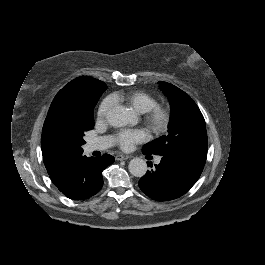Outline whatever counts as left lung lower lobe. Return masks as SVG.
Segmentation results:
<instances>
[{
  "mask_svg": "<svg viewBox=\"0 0 265 265\" xmlns=\"http://www.w3.org/2000/svg\"><path fill=\"white\" fill-rule=\"evenodd\" d=\"M161 156L160 164L139 180V187L153 200L169 201L184 195L196 183L207 153L183 151Z\"/></svg>",
  "mask_w": 265,
  "mask_h": 265,
  "instance_id": "0a47b994",
  "label": "left lung lower lobe"
}]
</instances>
